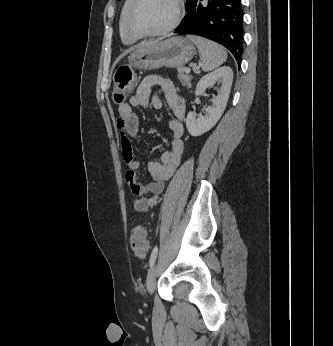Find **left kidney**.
Instances as JSON below:
<instances>
[{
    "label": "left kidney",
    "instance_id": "left-kidney-1",
    "mask_svg": "<svg viewBox=\"0 0 333 346\" xmlns=\"http://www.w3.org/2000/svg\"><path fill=\"white\" fill-rule=\"evenodd\" d=\"M233 81V71L228 66H223L215 71L203 76L195 90V95L199 96L207 88L212 87L216 82L221 84L218 95L212 100V106L206 108L205 116L196 115L190 111L186 118V127L191 136H200L215 126L222 116L229 98Z\"/></svg>",
    "mask_w": 333,
    "mask_h": 346
}]
</instances>
